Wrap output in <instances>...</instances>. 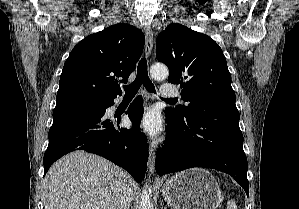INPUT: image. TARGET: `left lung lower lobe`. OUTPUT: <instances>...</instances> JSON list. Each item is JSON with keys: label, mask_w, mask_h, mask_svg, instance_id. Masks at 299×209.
Listing matches in <instances>:
<instances>
[{"label": "left lung lower lobe", "mask_w": 299, "mask_h": 209, "mask_svg": "<svg viewBox=\"0 0 299 209\" xmlns=\"http://www.w3.org/2000/svg\"><path fill=\"white\" fill-rule=\"evenodd\" d=\"M167 139L156 154L159 175L192 167L230 174L249 195L247 158L235 103L205 102L186 118L167 114Z\"/></svg>", "instance_id": "0a47b994"}]
</instances>
